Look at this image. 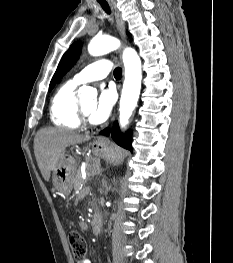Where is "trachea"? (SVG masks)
<instances>
[{
	"instance_id": "3493384b",
	"label": "trachea",
	"mask_w": 233,
	"mask_h": 263,
	"mask_svg": "<svg viewBox=\"0 0 233 263\" xmlns=\"http://www.w3.org/2000/svg\"><path fill=\"white\" fill-rule=\"evenodd\" d=\"M100 3L101 7L104 9V11L108 14H110V8L109 5L105 0H98ZM114 77L116 79H120L122 77V69L120 67H116L114 70Z\"/></svg>"
}]
</instances>
